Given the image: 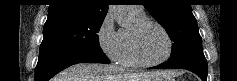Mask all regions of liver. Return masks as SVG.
<instances>
[{
  "label": "liver",
  "mask_w": 237,
  "mask_h": 81,
  "mask_svg": "<svg viewBox=\"0 0 237 81\" xmlns=\"http://www.w3.org/2000/svg\"><path fill=\"white\" fill-rule=\"evenodd\" d=\"M165 75L162 71L128 73L113 65L75 64L55 77V81H151Z\"/></svg>",
  "instance_id": "6515ba94"
}]
</instances>
